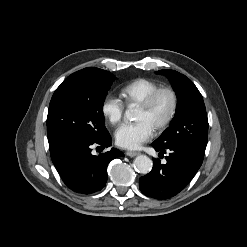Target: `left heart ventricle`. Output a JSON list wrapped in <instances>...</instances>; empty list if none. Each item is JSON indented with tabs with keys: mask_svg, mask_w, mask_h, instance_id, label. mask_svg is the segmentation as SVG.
<instances>
[{
	"mask_svg": "<svg viewBox=\"0 0 247 247\" xmlns=\"http://www.w3.org/2000/svg\"><path fill=\"white\" fill-rule=\"evenodd\" d=\"M170 109V97L168 94H162L158 97L153 107L144 110L138 107L136 112V120H144L154 127L160 123L167 115Z\"/></svg>",
	"mask_w": 247,
	"mask_h": 247,
	"instance_id": "b2bd125f",
	"label": "left heart ventricle"
}]
</instances>
